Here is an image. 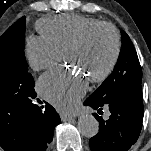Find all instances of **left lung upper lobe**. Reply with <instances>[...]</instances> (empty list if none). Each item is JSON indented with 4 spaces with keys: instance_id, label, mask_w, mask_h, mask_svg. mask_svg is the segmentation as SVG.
I'll return each mask as SVG.
<instances>
[{
    "instance_id": "left-lung-upper-lobe-1",
    "label": "left lung upper lobe",
    "mask_w": 151,
    "mask_h": 151,
    "mask_svg": "<svg viewBox=\"0 0 151 151\" xmlns=\"http://www.w3.org/2000/svg\"><path fill=\"white\" fill-rule=\"evenodd\" d=\"M121 35L122 46L112 74L89 96L101 105L114 100L128 85L142 82V70L133 43L124 31Z\"/></svg>"
}]
</instances>
